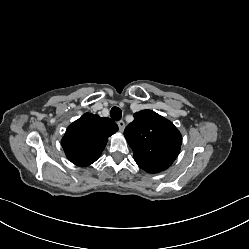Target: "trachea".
I'll list each match as a JSON object with an SVG mask.
<instances>
[{
	"label": "trachea",
	"mask_w": 249,
	"mask_h": 249,
	"mask_svg": "<svg viewBox=\"0 0 249 249\" xmlns=\"http://www.w3.org/2000/svg\"><path fill=\"white\" fill-rule=\"evenodd\" d=\"M110 116L113 120L119 121L122 117L121 109L117 106L112 107V109L110 110Z\"/></svg>",
	"instance_id": "obj_1"
}]
</instances>
